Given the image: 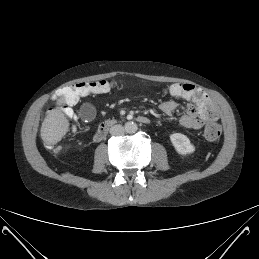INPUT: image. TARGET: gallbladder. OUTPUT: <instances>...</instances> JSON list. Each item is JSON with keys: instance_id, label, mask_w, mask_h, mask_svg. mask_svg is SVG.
<instances>
[{"instance_id": "gallbladder-1", "label": "gallbladder", "mask_w": 259, "mask_h": 259, "mask_svg": "<svg viewBox=\"0 0 259 259\" xmlns=\"http://www.w3.org/2000/svg\"><path fill=\"white\" fill-rule=\"evenodd\" d=\"M79 115L86 122L93 121L96 117L94 104L90 101L83 102L80 106Z\"/></svg>"}]
</instances>
